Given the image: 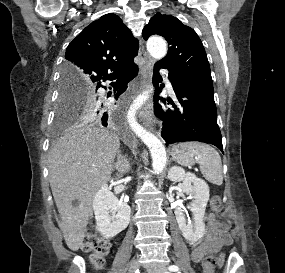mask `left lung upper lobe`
Returning a JSON list of instances; mask_svg holds the SVG:
<instances>
[{
    "label": "left lung upper lobe",
    "instance_id": "1",
    "mask_svg": "<svg viewBox=\"0 0 285 273\" xmlns=\"http://www.w3.org/2000/svg\"><path fill=\"white\" fill-rule=\"evenodd\" d=\"M154 34L163 36L170 46L168 54L157 64L185 83L213 87L204 46L192 28L174 16L157 13L142 32L145 40Z\"/></svg>",
    "mask_w": 285,
    "mask_h": 273
}]
</instances>
